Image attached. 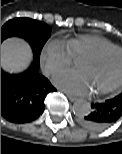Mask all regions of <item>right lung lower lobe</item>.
I'll return each instance as SVG.
<instances>
[{
	"mask_svg": "<svg viewBox=\"0 0 122 154\" xmlns=\"http://www.w3.org/2000/svg\"><path fill=\"white\" fill-rule=\"evenodd\" d=\"M39 61L21 74H8L1 69V115L13 123L35 120L45 109L46 95L56 89L38 73Z\"/></svg>",
	"mask_w": 122,
	"mask_h": 154,
	"instance_id": "obj_1",
	"label": "right lung lower lobe"
}]
</instances>
